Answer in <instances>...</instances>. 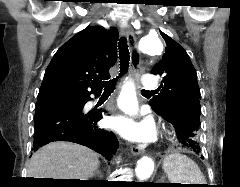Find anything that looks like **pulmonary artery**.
<instances>
[{"label":"pulmonary artery","mask_w":240,"mask_h":187,"mask_svg":"<svg viewBox=\"0 0 240 187\" xmlns=\"http://www.w3.org/2000/svg\"><path fill=\"white\" fill-rule=\"evenodd\" d=\"M141 83L146 90H156L158 88V83L153 75H145L141 79Z\"/></svg>","instance_id":"e3ab8cb5"}]
</instances>
